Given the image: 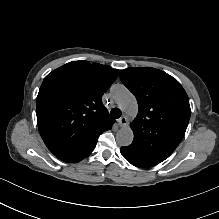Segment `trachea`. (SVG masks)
<instances>
[{"label":"trachea","instance_id":"trachea-1","mask_svg":"<svg viewBox=\"0 0 219 219\" xmlns=\"http://www.w3.org/2000/svg\"><path fill=\"white\" fill-rule=\"evenodd\" d=\"M110 114H111V117L118 119L121 116V111L119 108H113L111 109Z\"/></svg>","mask_w":219,"mask_h":219}]
</instances>
